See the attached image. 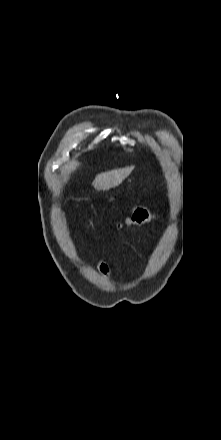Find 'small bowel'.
<instances>
[{
	"mask_svg": "<svg viewBox=\"0 0 221 440\" xmlns=\"http://www.w3.org/2000/svg\"><path fill=\"white\" fill-rule=\"evenodd\" d=\"M97 269L103 278H105L108 281L111 280V278H112L111 270H110V267L105 262L100 261L97 264Z\"/></svg>",
	"mask_w": 221,
	"mask_h": 440,
	"instance_id": "small-bowel-1",
	"label": "small bowel"
}]
</instances>
